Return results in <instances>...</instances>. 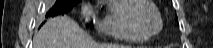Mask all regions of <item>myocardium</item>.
<instances>
[{"instance_id":"myocardium-1","label":"myocardium","mask_w":213,"mask_h":48,"mask_svg":"<svg viewBox=\"0 0 213 48\" xmlns=\"http://www.w3.org/2000/svg\"><path fill=\"white\" fill-rule=\"evenodd\" d=\"M142 6H148L155 12L157 19H158V23H159V27L155 32L146 33L140 28V26L137 22V19H136V13ZM128 19L130 21V24L134 28V30L138 34H140L146 38L155 36L156 34H158L161 31V29L163 27V20H162V16H161L159 9L152 2L146 1V0H133V3L128 12Z\"/></svg>"}]
</instances>
